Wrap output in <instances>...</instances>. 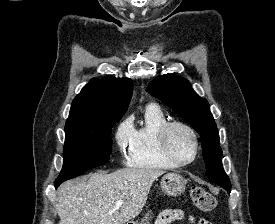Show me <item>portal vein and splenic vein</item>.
Segmentation results:
<instances>
[{
  "label": "portal vein and splenic vein",
  "mask_w": 275,
  "mask_h": 224,
  "mask_svg": "<svg viewBox=\"0 0 275 224\" xmlns=\"http://www.w3.org/2000/svg\"><path fill=\"white\" fill-rule=\"evenodd\" d=\"M122 204H123V201L119 200V201L116 202V207L120 208L122 206Z\"/></svg>",
  "instance_id": "18ae733b"
}]
</instances>
